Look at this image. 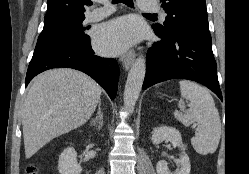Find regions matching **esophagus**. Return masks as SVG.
<instances>
[{
    "label": "esophagus",
    "instance_id": "34e87169",
    "mask_svg": "<svg viewBox=\"0 0 249 174\" xmlns=\"http://www.w3.org/2000/svg\"><path fill=\"white\" fill-rule=\"evenodd\" d=\"M136 54L133 50H130L128 53L120 57V61L125 68L128 70L135 60Z\"/></svg>",
    "mask_w": 249,
    "mask_h": 174
}]
</instances>
